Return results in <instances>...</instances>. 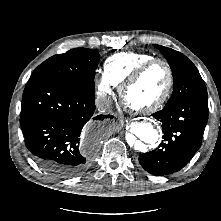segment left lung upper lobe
Instances as JSON below:
<instances>
[{"instance_id": "left-lung-upper-lobe-1", "label": "left lung upper lobe", "mask_w": 221, "mask_h": 221, "mask_svg": "<svg viewBox=\"0 0 221 221\" xmlns=\"http://www.w3.org/2000/svg\"><path fill=\"white\" fill-rule=\"evenodd\" d=\"M168 61L173 74V93L167 104L183 101L191 96H207L205 83L195 65L182 53L155 45Z\"/></svg>"}]
</instances>
